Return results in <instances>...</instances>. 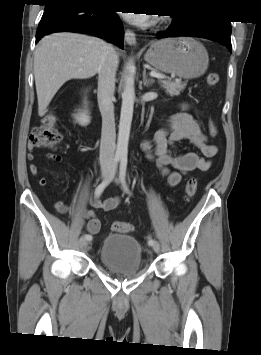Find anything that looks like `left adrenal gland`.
Wrapping results in <instances>:
<instances>
[{"label":"left adrenal gland","instance_id":"1","mask_svg":"<svg viewBox=\"0 0 261 355\" xmlns=\"http://www.w3.org/2000/svg\"><path fill=\"white\" fill-rule=\"evenodd\" d=\"M153 83H154V80L147 78L146 69H144V71H143V86L149 88L152 86Z\"/></svg>","mask_w":261,"mask_h":355}]
</instances>
